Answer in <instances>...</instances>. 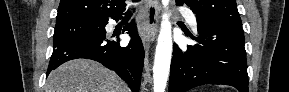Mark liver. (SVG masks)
<instances>
[{
  "mask_svg": "<svg viewBox=\"0 0 289 92\" xmlns=\"http://www.w3.org/2000/svg\"><path fill=\"white\" fill-rule=\"evenodd\" d=\"M118 75L98 62L76 59L64 63L47 78L45 92H128Z\"/></svg>",
  "mask_w": 289,
  "mask_h": 92,
  "instance_id": "1",
  "label": "liver"
}]
</instances>
